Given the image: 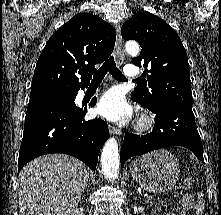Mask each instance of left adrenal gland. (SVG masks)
I'll return each instance as SVG.
<instances>
[{
  "mask_svg": "<svg viewBox=\"0 0 221 215\" xmlns=\"http://www.w3.org/2000/svg\"><path fill=\"white\" fill-rule=\"evenodd\" d=\"M130 186L136 188V186L134 185V181L133 180L131 181V185Z\"/></svg>",
  "mask_w": 221,
  "mask_h": 215,
  "instance_id": "1",
  "label": "left adrenal gland"
}]
</instances>
